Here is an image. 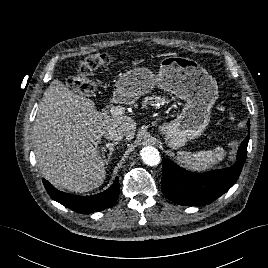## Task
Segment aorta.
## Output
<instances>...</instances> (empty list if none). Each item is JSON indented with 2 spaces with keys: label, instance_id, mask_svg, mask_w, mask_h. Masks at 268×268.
I'll use <instances>...</instances> for the list:
<instances>
[{
  "label": "aorta",
  "instance_id": "762f6f07",
  "mask_svg": "<svg viewBox=\"0 0 268 268\" xmlns=\"http://www.w3.org/2000/svg\"><path fill=\"white\" fill-rule=\"evenodd\" d=\"M143 162L149 166H156L160 163V153L153 146L143 147L140 151Z\"/></svg>",
  "mask_w": 268,
  "mask_h": 268
}]
</instances>
